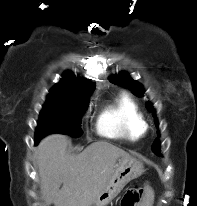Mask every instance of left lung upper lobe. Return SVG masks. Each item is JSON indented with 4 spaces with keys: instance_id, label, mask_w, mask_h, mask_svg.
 Instances as JSON below:
<instances>
[{
    "instance_id": "5c2ea615",
    "label": "left lung upper lobe",
    "mask_w": 197,
    "mask_h": 206,
    "mask_svg": "<svg viewBox=\"0 0 197 206\" xmlns=\"http://www.w3.org/2000/svg\"><path fill=\"white\" fill-rule=\"evenodd\" d=\"M109 80L112 83H116V84H119L121 86H125V87L131 89L132 92L137 96H143L144 92H143L142 86L140 84H138L135 80L131 79L127 73H121L118 75L111 76L109 78ZM146 107L150 112L153 113V116L155 117V111L153 109V106L150 104H147ZM155 123H156V125H158L156 118H155ZM152 150L156 155L161 156L160 142H159L158 138L155 139L153 146H152Z\"/></svg>"
}]
</instances>
